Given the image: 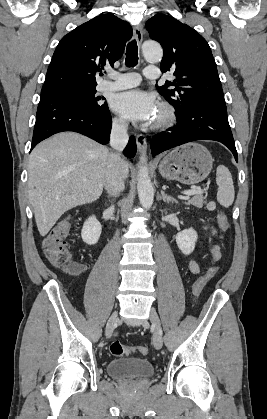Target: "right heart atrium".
Here are the masks:
<instances>
[{"mask_svg": "<svg viewBox=\"0 0 267 419\" xmlns=\"http://www.w3.org/2000/svg\"><path fill=\"white\" fill-rule=\"evenodd\" d=\"M113 126L118 130H123L126 126L125 121L122 118H114L113 119Z\"/></svg>", "mask_w": 267, "mask_h": 419, "instance_id": "obj_1", "label": "right heart atrium"}]
</instances>
